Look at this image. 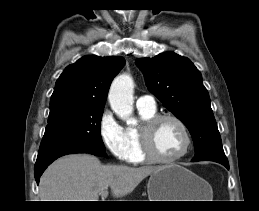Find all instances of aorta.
<instances>
[{"instance_id": "obj_1", "label": "aorta", "mask_w": 259, "mask_h": 211, "mask_svg": "<svg viewBox=\"0 0 259 211\" xmlns=\"http://www.w3.org/2000/svg\"><path fill=\"white\" fill-rule=\"evenodd\" d=\"M133 88L132 77L129 74H121L112 82L108 95L111 109L128 124L135 122L133 117Z\"/></svg>"}]
</instances>
